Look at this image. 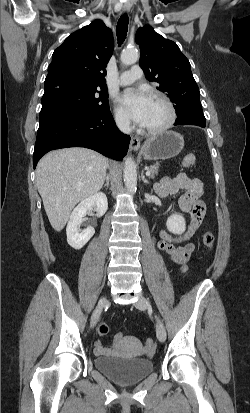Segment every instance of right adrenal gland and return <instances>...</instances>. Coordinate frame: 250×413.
Listing matches in <instances>:
<instances>
[{"label": "right adrenal gland", "instance_id": "obj_1", "mask_svg": "<svg viewBox=\"0 0 250 413\" xmlns=\"http://www.w3.org/2000/svg\"><path fill=\"white\" fill-rule=\"evenodd\" d=\"M109 175L107 174V176H106V183L104 184V186L103 187H107V188H109Z\"/></svg>", "mask_w": 250, "mask_h": 413}]
</instances>
